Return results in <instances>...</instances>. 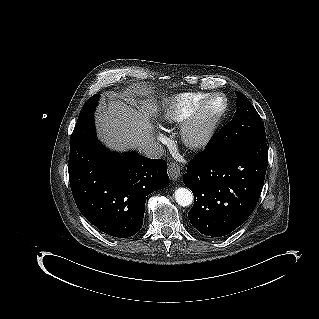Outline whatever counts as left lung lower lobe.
<instances>
[{"label":"left lung lower lobe","mask_w":319,"mask_h":319,"mask_svg":"<svg viewBox=\"0 0 319 319\" xmlns=\"http://www.w3.org/2000/svg\"><path fill=\"white\" fill-rule=\"evenodd\" d=\"M267 164L266 142L195 157L183 182L194 194L188 217L196 231L220 238L242 225L257 204Z\"/></svg>","instance_id":"obj_1"}]
</instances>
